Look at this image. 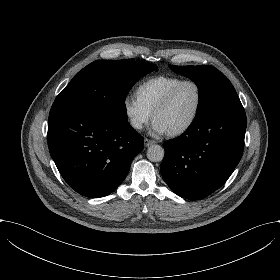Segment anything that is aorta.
Instances as JSON below:
<instances>
[{"label":"aorta","instance_id":"obj_1","mask_svg":"<svg viewBox=\"0 0 280 280\" xmlns=\"http://www.w3.org/2000/svg\"><path fill=\"white\" fill-rule=\"evenodd\" d=\"M147 157L150 161H161L164 157V149L158 144H153L147 149Z\"/></svg>","mask_w":280,"mask_h":280}]
</instances>
